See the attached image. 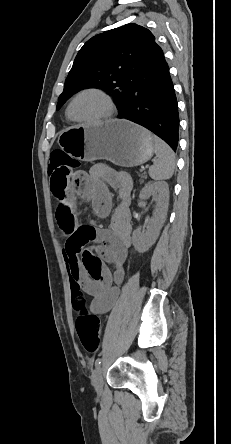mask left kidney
<instances>
[{"label": "left kidney", "instance_id": "5707ae66", "mask_svg": "<svg viewBox=\"0 0 231 444\" xmlns=\"http://www.w3.org/2000/svg\"><path fill=\"white\" fill-rule=\"evenodd\" d=\"M151 195L155 196L156 207L152 219L148 222L147 230L145 232L134 230L132 234L133 246L139 253L146 252L156 242L165 222L169 205L168 183L160 181L146 184L140 191L139 198L143 201Z\"/></svg>", "mask_w": 231, "mask_h": 444}]
</instances>
